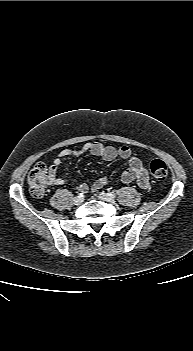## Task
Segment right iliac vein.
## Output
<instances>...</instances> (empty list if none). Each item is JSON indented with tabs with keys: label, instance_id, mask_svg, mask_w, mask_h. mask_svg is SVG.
Here are the masks:
<instances>
[{
	"label": "right iliac vein",
	"instance_id": "63e3f726",
	"mask_svg": "<svg viewBox=\"0 0 193 351\" xmlns=\"http://www.w3.org/2000/svg\"><path fill=\"white\" fill-rule=\"evenodd\" d=\"M82 202H83V198L82 197H75L74 199H73V203H74V205H80V204H82Z\"/></svg>",
	"mask_w": 193,
	"mask_h": 351
}]
</instances>
